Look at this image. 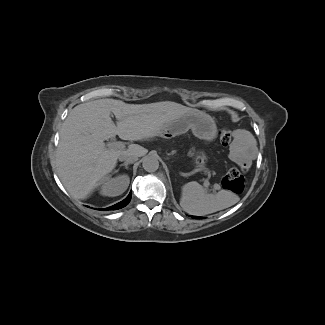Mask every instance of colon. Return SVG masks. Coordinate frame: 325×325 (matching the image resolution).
<instances>
[{"mask_svg":"<svg viewBox=\"0 0 325 325\" xmlns=\"http://www.w3.org/2000/svg\"><path fill=\"white\" fill-rule=\"evenodd\" d=\"M220 142L223 146H228L232 140L231 132L222 128L219 131ZM222 187L225 190L241 193L245 187V177L243 175V171L237 168L231 169L222 179Z\"/></svg>","mask_w":325,"mask_h":325,"instance_id":"5ec220e1","label":"colon"}]
</instances>
